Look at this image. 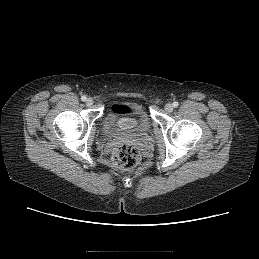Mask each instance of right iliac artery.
<instances>
[{
    "label": "right iliac artery",
    "instance_id": "obj_1",
    "mask_svg": "<svg viewBox=\"0 0 259 259\" xmlns=\"http://www.w3.org/2000/svg\"><path fill=\"white\" fill-rule=\"evenodd\" d=\"M86 99H87V97H86L85 95H83V96L81 97V100H82V101H86Z\"/></svg>",
    "mask_w": 259,
    "mask_h": 259
}]
</instances>
